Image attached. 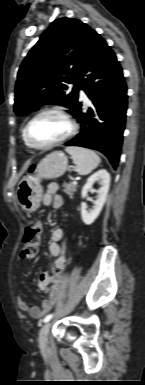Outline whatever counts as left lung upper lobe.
<instances>
[{
  "instance_id": "obj_1",
  "label": "left lung upper lobe",
  "mask_w": 145,
  "mask_h": 385,
  "mask_svg": "<svg viewBox=\"0 0 145 385\" xmlns=\"http://www.w3.org/2000/svg\"><path fill=\"white\" fill-rule=\"evenodd\" d=\"M95 30L80 20L60 18L51 23L18 71L14 112L25 115L45 104H79V78L91 52ZM68 84H74L68 92Z\"/></svg>"
}]
</instances>
